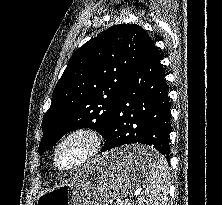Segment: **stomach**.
I'll return each instance as SVG.
<instances>
[{"instance_id":"0dacf381","label":"stomach","mask_w":222,"mask_h":205,"mask_svg":"<svg viewBox=\"0 0 222 205\" xmlns=\"http://www.w3.org/2000/svg\"><path fill=\"white\" fill-rule=\"evenodd\" d=\"M158 153L149 146L133 145L97 156L66 184L41 192L37 205H109L146 182L148 165L139 159Z\"/></svg>"}]
</instances>
